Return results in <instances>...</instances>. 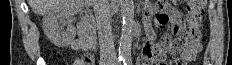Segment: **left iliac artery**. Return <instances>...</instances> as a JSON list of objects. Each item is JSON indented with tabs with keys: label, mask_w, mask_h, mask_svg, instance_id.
<instances>
[{
	"label": "left iliac artery",
	"mask_w": 232,
	"mask_h": 65,
	"mask_svg": "<svg viewBox=\"0 0 232 65\" xmlns=\"http://www.w3.org/2000/svg\"><path fill=\"white\" fill-rule=\"evenodd\" d=\"M124 65H132V60L130 56H126L123 60Z\"/></svg>",
	"instance_id": "obj_1"
}]
</instances>
